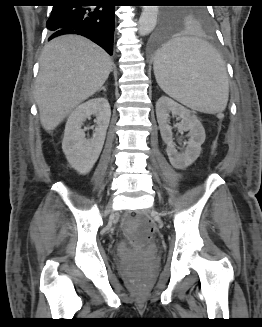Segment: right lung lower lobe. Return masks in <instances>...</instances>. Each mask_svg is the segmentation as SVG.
Masks as SVG:
<instances>
[{"label":"right lung lower lobe","mask_w":262,"mask_h":327,"mask_svg":"<svg viewBox=\"0 0 262 327\" xmlns=\"http://www.w3.org/2000/svg\"><path fill=\"white\" fill-rule=\"evenodd\" d=\"M47 21L49 40L63 34H79L113 54L115 6H82L79 0H56Z\"/></svg>","instance_id":"right-lung-lower-lobe-1"}]
</instances>
